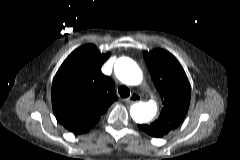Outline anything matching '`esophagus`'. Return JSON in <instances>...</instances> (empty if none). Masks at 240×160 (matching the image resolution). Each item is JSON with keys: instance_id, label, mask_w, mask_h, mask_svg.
Listing matches in <instances>:
<instances>
[{"instance_id": "esophagus-1", "label": "esophagus", "mask_w": 240, "mask_h": 160, "mask_svg": "<svg viewBox=\"0 0 240 160\" xmlns=\"http://www.w3.org/2000/svg\"><path fill=\"white\" fill-rule=\"evenodd\" d=\"M140 100H141V95L137 92H133L129 98L125 99V102L129 104H133V103L139 102Z\"/></svg>"}]
</instances>
